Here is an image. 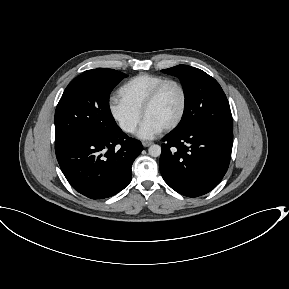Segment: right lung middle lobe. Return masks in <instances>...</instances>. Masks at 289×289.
<instances>
[{
    "mask_svg": "<svg viewBox=\"0 0 289 289\" xmlns=\"http://www.w3.org/2000/svg\"><path fill=\"white\" fill-rule=\"evenodd\" d=\"M126 76L113 69H94L70 82L55 111V151L118 128L109 109V95Z\"/></svg>",
    "mask_w": 289,
    "mask_h": 289,
    "instance_id": "1",
    "label": "right lung middle lobe"
}]
</instances>
